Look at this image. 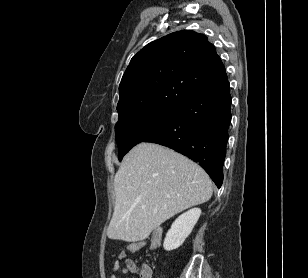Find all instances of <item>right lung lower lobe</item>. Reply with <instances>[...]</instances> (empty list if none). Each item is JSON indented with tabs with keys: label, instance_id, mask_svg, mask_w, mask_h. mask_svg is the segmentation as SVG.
I'll use <instances>...</instances> for the list:
<instances>
[{
	"label": "right lung lower lobe",
	"instance_id": "98d812e1",
	"mask_svg": "<svg viewBox=\"0 0 308 278\" xmlns=\"http://www.w3.org/2000/svg\"><path fill=\"white\" fill-rule=\"evenodd\" d=\"M229 82L178 107L177 116L143 142L167 146L196 161L218 188L231 121Z\"/></svg>",
	"mask_w": 308,
	"mask_h": 278
}]
</instances>
